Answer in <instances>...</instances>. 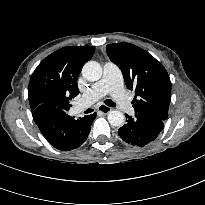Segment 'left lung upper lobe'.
Wrapping results in <instances>:
<instances>
[{"instance_id": "obj_1", "label": "left lung upper lobe", "mask_w": 205, "mask_h": 205, "mask_svg": "<svg viewBox=\"0 0 205 205\" xmlns=\"http://www.w3.org/2000/svg\"><path fill=\"white\" fill-rule=\"evenodd\" d=\"M110 60L122 71L125 83L135 90V113L166 120L171 81L166 69L147 51L130 43L106 46Z\"/></svg>"}]
</instances>
